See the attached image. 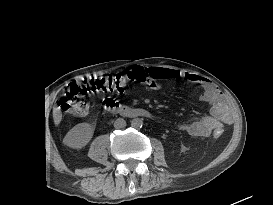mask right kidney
I'll return each instance as SVG.
<instances>
[{
	"instance_id": "1",
	"label": "right kidney",
	"mask_w": 273,
	"mask_h": 205,
	"mask_svg": "<svg viewBox=\"0 0 273 205\" xmlns=\"http://www.w3.org/2000/svg\"><path fill=\"white\" fill-rule=\"evenodd\" d=\"M72 143L74 147H84L93 136V129L88 123H80L76 125L71 131Z\"/></svg>"
}]
</instances>
